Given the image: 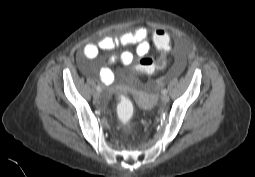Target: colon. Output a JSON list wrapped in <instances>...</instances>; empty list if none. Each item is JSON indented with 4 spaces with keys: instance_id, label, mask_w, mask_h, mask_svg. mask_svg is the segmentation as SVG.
I'll list each match as a JSON object with an SVG mask.
<instances>
[{
    "instance_id": "obj_1",
    "label": "colon",
    "mask_w": 255,
    "mask_h": 177,
    "mask_svg": "<svg viewBox=\"0 0 255 177\" xmlns=\"http://www.w3.org/2000/svg\"><path fill=\"white\" fill-rule=\"evenodd\" d=\"M151 43L156 47L159 56L156 61L149 57H143L139 61L136 70L142 73H152L158 69L163 70L166 67V59L168 52L171 49V39L165 29H156L151 38ZM117 119L120 125L124 128L131 126L132 117L134 114V106L126 95L119 96L117 105Z\"/></svg>"
}]
</instances>
